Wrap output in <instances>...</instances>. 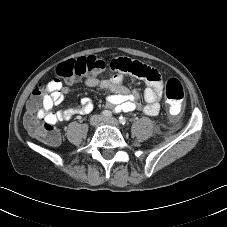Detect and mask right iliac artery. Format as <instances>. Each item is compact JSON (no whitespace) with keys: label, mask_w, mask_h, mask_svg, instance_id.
Masks as SVG:
<instances>
[{"label":"right iliac artery","mask_w":227,"mask_h":227,"mask_svg":"<svg viewBox=\"0 0 227 227\" xmlns=\"http://www.w3.org/2000/svg\"><path fill=\"white\" fill-rule=\"evenodd\" d=\"M100 114H101V116H103L105 118H110L112 116V113L108 110H104Z\"/></svg>","instance_id":"obj_1"}]
</instances>
